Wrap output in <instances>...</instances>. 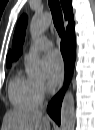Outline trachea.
I'll use <instances>...</instances> for the list:
<instances>
[{
	"mask_svg": "<svg viewBox=\"0 0 95 130\" xmlns=\"http://www.w3.org/2000/svg\"><path fill=\"white\" fill-rule=\"evenodd\" d=\"M49 7L52 13L54 26L60 37H63L65 29L63 25V16L59 4V0H49Z\"/></svg>",
	"mask_w": 95,
	"mask_h": 130,
	"instance_id": "trachea-1",
	"label": "trachea"
}]
</instances>
